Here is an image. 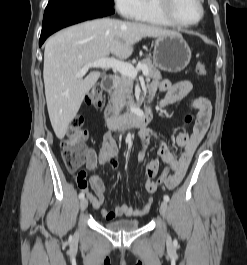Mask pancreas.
Listing matches in <instances>:
<instances>
[{
	"label": "pancreas",
	"mask_w": 247,
	"mask_h": 265,
	"mask_svg": "<svg viewBox=\"0 0 247 265\" xmlns=\"http://www.w3.org/2000/svg\"><path fill=\"white\" fill-rule=\"evenodd\" d=\"M140 65H145L148 68L147 77L155 80L162 78L160 71L149 60L144 59ZM133 78L125 75L117 76L114 79V90L111 93L110 103L114 110L121 111L124 106L131 103L133 100Z\"/></svg>",
	"instance_id": "1"
}]
</instances>
